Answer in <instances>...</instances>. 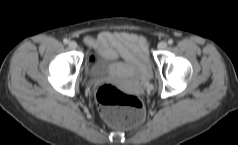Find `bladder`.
Returning a JSON list of instances; mask_svg holds the SVG:
<instances>
[{
	"label": "bladder",
	"instance_id": "1",
	"mask_svg": "<svg viewBox=\"0 0 238 145\" xmlns=\"http://www.w3.org/2000/svg\"><path fill=\"white\" fill-rule=\"evenodd\" d=\"M115 65L109 59L94 55L88 62L87 65V74L90 78L96 79L98 74L108 66ZM150 77V71L146 73V78Z\"/></svg>",
	"mask_w": 238,
	"mask_h": 145
}]
</instances>
